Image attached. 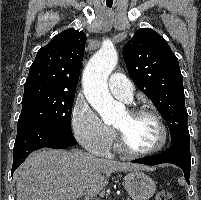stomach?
I'll return each mask as SVG.
<instances>
[{"label": "stomach", "instance_id": "stomach-1", "mask_svg": "<svg viewBox=\"0 0 201 200\" xmlns=\"http://www.w3.org/2000/svg\"><path fill=\"white\" fill-rule=\"evenodd\" d=\"M124 187L133 200H149L155 193V183L145 173L133 170L124 177Z\"/></svg>", "mask_w": 201, "mask_h": 200}]
</instances>
